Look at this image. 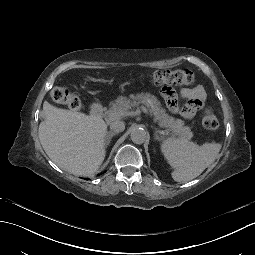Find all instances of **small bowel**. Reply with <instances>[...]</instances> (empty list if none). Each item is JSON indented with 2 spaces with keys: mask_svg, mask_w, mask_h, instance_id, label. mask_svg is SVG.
I'll use <instances>...</instances> for the list:
<instances>
[{
  "mask_svg": "<svg viewBox=\"0 0 255 255\" xmlns=\"http://www.w3.org/2000/svg\"><path fill=\"white\" fill-rule=\"evenodd\" d=\"M165 94H171V90H164ZM180 95L188 101L180 111L185 118H192L199 111L206 99V92L203 87L197 86L194 88H183L180 90Z\"/></svg>",
  "mask_w": 255,
  "mask_h": 255,
  "instance_id": "small-bowel-1",
  "label": "small bowel"
}]
</instances>
